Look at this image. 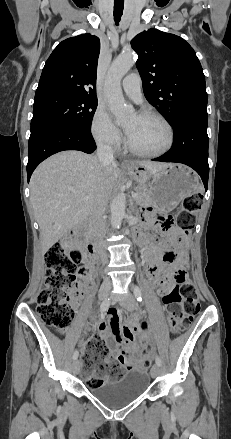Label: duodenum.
<instances>
[{"label": "duodenum", "mask_w": 231, "mask_h": 439, "mask_svg": "<svg viewBox=\"0 0 231 439\" xmlns=\"http://www.w3.org/2000/svg\"><path fill=\"white\" fill-rule=\"evenodd\" d=\"M75 233L76 234L79 233V228L75 229ZM143 241L146 242V240H143ZM87 250L91 254V256H92L94 261L98 260V255H97V252H96V247H95V242L94 241H90L89 242V244L87 245ZM148 266H149V264H148Z\"/></svg>", "instance_id": "410a0bca"}]
</instances>
